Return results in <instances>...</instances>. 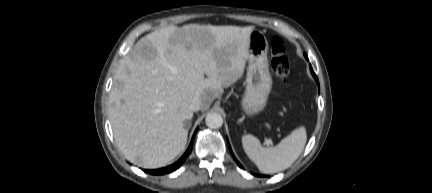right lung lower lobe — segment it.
Instances as JSON below:
<instances>
[{
    "label": "right lung lower lobe",
    "mask_w": 432,
    "mask_h": 193,
    "mask_svg": "<svg viewBox=\"0 0 432 193\" xmlns=\"http://www.w3.org/2000/svg\"><path fill=\"white\" fill-rule=\"evenodd\" d=\"M193 139H194V136L191 140V143H190L188 149L186 150V152L183 154V156L176 163H174L170 166H167L165 168L157 169V170H144V172L149 173V174L158 175V174H166V173H169V172H172V171L178 169L183 164V162L185 161L187 156L189 155V153L192 149V146H193Z\"/></svg>",
    "instance_id": "right-lung-lower-lobe-1"
}]
</instances>
